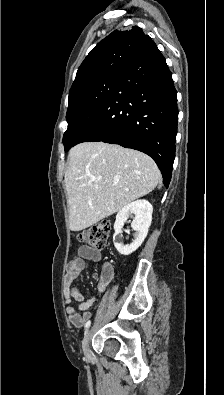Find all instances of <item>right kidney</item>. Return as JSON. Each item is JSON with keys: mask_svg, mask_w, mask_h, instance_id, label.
I'll return each instance as SVG.
<instances>
[{"mask_svg": "<svg viewBox=\"0 0 224 395\" xmlns=\"http://www.w3.org/2000/svg\"><path fill=\"white\" fill-rule=\"evenodd\" d=\"M153 207L147 200H137L124 206L117 214L114 224V246L122 255H130L136 251L147 236L152 221ZM135 215L131 227L136 231L135 240L131 244L122 243V228L130 215Z\"/></svg>", "mask_w": 224, "mask_h": 395, "instance_id": "obj_1", "label": "right kidney"}]
</instances>
